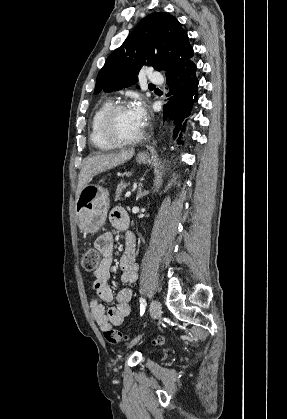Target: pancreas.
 Segmentation results:
<instances>
[{"label":"pancreas","instance_id":"cf45deb5","mask_svg":"<svg viewBox=\"0 0 287 419\" xmlns=\"http://www.w3.org/2000/svg\"><path fill=\"white\" fill-rule=\"evenodd\" d=\"M126 187H127V185H126V184H124V183H120V184L117 186L116 193H115V200H116V201H117V200H120L121 195H122V192H123L124 188H126Z\"/></svg>","mask_w":287,"mask_h":419}]
</instances>
